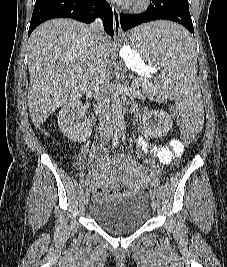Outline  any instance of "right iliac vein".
I'll use <instances>...</instances> for the list:
<instances>
[{
    "label": "right iliac vein",
    "instance_id": "obj_1",
    "mask_svg": "<svg viewBox=\"0 0 227 267\" xmlns=\"http://www.w3.org/2000/svg\"><path fill=\"white\" fill-rule=\"evenodd\" d=\"M89 197H90V193H89V191L87 190V191L84 193V197H83V202H84V204H88V202H89Z\"/></svg>",
    "mask_w": 227,
    "mask_h": 267
}]
</instances>
